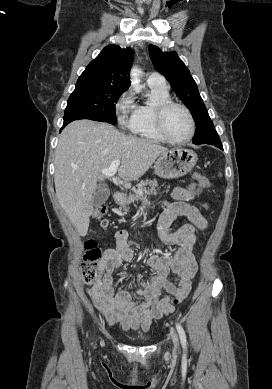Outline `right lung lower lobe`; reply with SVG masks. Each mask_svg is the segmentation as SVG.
Here are the masks:
<instances>
[{
  "label": "right lung lower lobe",
  "mask_w": 272,
  "mask_h": 389,
  "mask_svg": "<svg viewBox=\"0 0 272 389\" xmlns=\"http://www.w3.org/2000/svg\"><path fill=\"white\" fill-rule=\"evenodd\" d=\"M77 119H82L80 117H67V118H64V123H63V126L61 128V130L68 124L70 123L71 121H74V120H77ZM60 130V132H61Z\"/></svg>",
  "instance_id": "1"
}]
</instances>
